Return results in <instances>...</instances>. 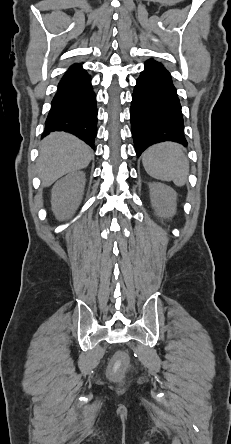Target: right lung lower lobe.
<instances>
[{
    "mask_svg": "<svg viewBox=\"0 0 231 444\" xmlns=\"http://www.w3.org/2000/svg\"><path fill=\"white\" fill-rule=\"evenodd\" d=\"M52 131L70 132L95 149L96 97L89 75L81 67L68 70L58 84L42 136Z\"/></svg>",
    "mask_w": 231,
    "mask_h": 444,
    "instance_id": "98d812e1",
    "label": "right lung lower lobe"
}]
</instances>
